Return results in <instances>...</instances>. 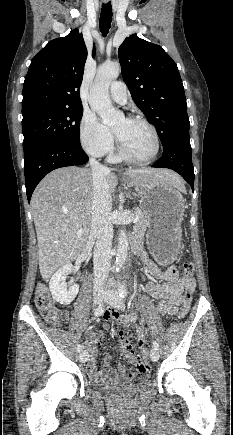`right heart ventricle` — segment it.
<instances>
[{
  "label": "right heart ventricle",
  "instance_id": "obj_1",
  "mask_svg": "<svg viewBox=\"0 0 233 435\" xmlns=\"http://www.w3.org/2000/svg\"><path fill=\"white\" fill-rule=\"evenodd\" d=\"M109 161L112 163H117L121 161V158L118 153L114 152L113 149L111 150Z\"/></svg>",
  "mask_w": 233,
  "mask_h": 435
}]
</instances>
